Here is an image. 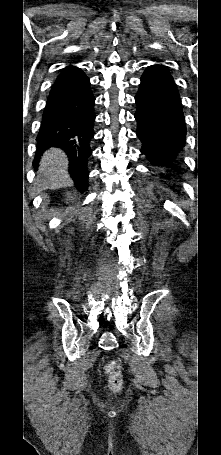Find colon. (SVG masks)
<instances>
[{"instance_id":"5ec220e1","label":"colon","mask_w":221,"mask_h":455,"mask_svg":"<svg viewBox=\"0 0 221 455\" xmlns=\"http://www.w3.org/2000/svg\"><path fill=\"white\" fill-rule=\"evenodd\" d=\"M105 373L108 377L109 384L113 389L118 390L122 387L123 380L121 367L117 361L115 360L109 361L108 364L106 365Z\"/></svg>"}]
</instances>
